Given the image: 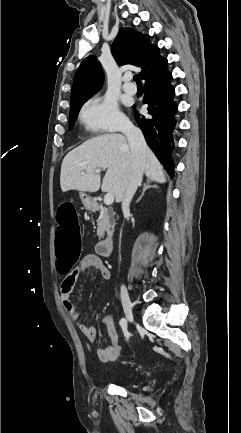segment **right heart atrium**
I'll use <instances>...</instances> for the list:
<instances>
[{
    "instance_id": "obj_1",
    "label": "right heart atrium",
    "mask_w": 241,
    "mask_h": 433,
    "mask_svg": "<svg viewBox=\"0 0 241 433\" xmlns=\"http://www.w3.org/2000/svg\"><path fill=\"white\" fill-rule=\"evenodd\" d=\"M79 119L91 132H118L128 128L127 118L116 101L107 96H95L88 100L79 112Z\"/></svg>"
}]
</instances>
